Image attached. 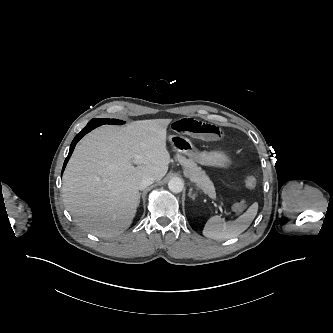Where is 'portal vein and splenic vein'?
<instances>
[{
    "label": "portal vein and splenic vein",
    "instance_id": "portal-vein-and-splenic-vein-1",
    "mask_svg": "<svg viewBox=\"0 0 333 333\" xmlns=\"http://www.w3.org/2000/svg\"><path fill=\"white\" fill-rule=\"evenodd\" d=\"M211 198L215 199L216 195H212ZM219 205H220V208H221V212L228 215L229 213L227 212L224 204L221 201H219Z\"/></svg>",
    "mask_w": 333,
    "mask_h": 333
}]
</instances>
